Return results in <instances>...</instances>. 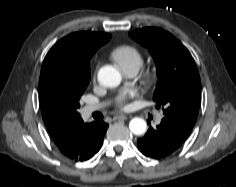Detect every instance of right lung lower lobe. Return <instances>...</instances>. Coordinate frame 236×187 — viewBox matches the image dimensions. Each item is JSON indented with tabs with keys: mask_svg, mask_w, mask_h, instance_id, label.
<instances>
[{
	"mask_svg": "<svg viewBox=\"0 0 236 187\" xmlns=\"http://www.w3.org/2000/svg\"><path fill=\"white\" fill-rule=\"evenodd\" d=\"M108 124L103 121H95L84 124L74 148L71 159L85 161L93 157L101 148Z\"/></svg>",
	"mask_w": 236,
	"mask_h": 187,
	"instance_id": "98d812e1",
	"label": "right lung lower lobe"
}]
</instances>
